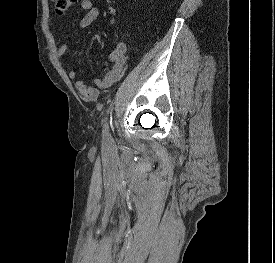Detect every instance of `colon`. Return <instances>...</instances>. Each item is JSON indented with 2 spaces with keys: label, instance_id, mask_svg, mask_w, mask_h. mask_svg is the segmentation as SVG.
Instances as JSON below:
<instances>
[{
  "label": "colon",
  "instance_id": "1",
  "mask_svg": "<svg viewBox=\"0 0 275 263\" xmlns=\"http://www.w3.org/2000/svg\"><path fill=\"white\" fill-rule=\"evenodd\" d=\"M54 9L57 13L62 14L75 2V0H53Z\"/></svg>",
  "mask_w": 275,
  "mask_h": 263
}]
</instances>
